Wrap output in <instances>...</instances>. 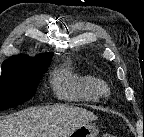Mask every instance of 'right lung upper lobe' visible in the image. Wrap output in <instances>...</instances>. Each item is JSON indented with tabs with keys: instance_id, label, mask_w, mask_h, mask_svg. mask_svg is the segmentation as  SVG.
Instances as JSON below:
<instances>
[{
	"instance_id": "1",
	"label": "right lung upper lobe",
	"mask_w": 144,
	"mask_h": 137,
	"mask_svg": "<svg viewBox=\"0 0 144 137\" xmlns=\"http://www.w3.org/2000/svg\"><path fill=\"white\" fill-rule=\"evenodd\" d=\"M53 53L38 55L35 58H30L26 55H15L3 62L2 67L17 66V65H41L51 60Z\"/></svg>"
}]
</instances>
